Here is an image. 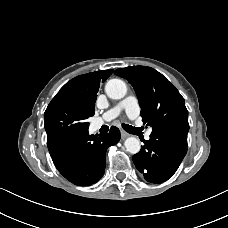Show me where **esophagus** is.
Here are the masks:
<instances>
[{
    "label": "esophagus",
    "instance_id": "obj_1",
    "mask_svg": "<svg viewBox=\"0 0 228 228\" xmlns=\"http://www.w3.org/2000/svg\"><path fill=\"white\" fill-rule=\"evenodd\" d=\"M129 136V134L127 133V132H125V131H121V139H126L127 137Z\"/></svg>",
    "mask_w": 228,
    "mask_h": 228
}]
</instances>
